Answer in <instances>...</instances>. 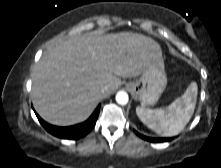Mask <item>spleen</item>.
<instances>
[{"mask_svg": "<svg viewBox=\"0 0 221 168\" xmlns=\"http://www.w3.org/2000/svg\"><path fill=\"white\" fill-rule=\"evenodd\" d=\"M197 91L196 82H192L185 93L168 107L155 110L137 107L136 114L149 129L157 134L166 137L177 135L185 128L194 113Z\"/></svg>", "mask_w": 221, "mask_h": 168, "instance_id": "1", "label": "spleen"}]
</instances>
